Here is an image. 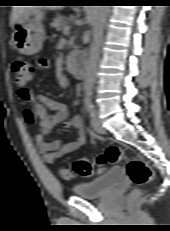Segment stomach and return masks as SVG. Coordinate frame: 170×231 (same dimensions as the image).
<instances>
[{
  "label": "stomach",
  "instance_id": "obj_1",
  "mask_svg": "<svg viewBox=\"0 0 170 231\" xmlns=\"http://www.w3.org/2000/svg\"><path fill=\"white\" fill-rule=\"evenodd\" d=\"M43 12L27 11L16 22L13 29V41L20 53L33 55L38 53L45 39L42 25Z\"/></svg>",
  "mask_w": 170,
  "mask_h": 231
}]
</instances>
